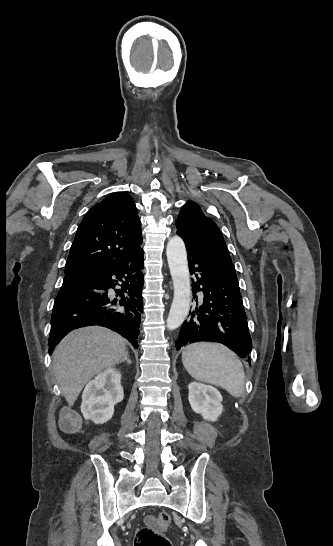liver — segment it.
<instances>
[{
  "label": "liver",
  "instance_id": "1",
  "mask_svg": "<svg viewBox=\"0 0 333 546\" xmlns=\"http://www.w3.org/2000/svg\"><path fill=\"white\" fill-rule=\"evenodd\" d=\"M124 339L103 327L71 331L56 347L53 371L68 407L96 374L115 366L125 354Z\"/></svg>",
  "mask_w": 333,
  "mask_h": 546
}]
</instances>
